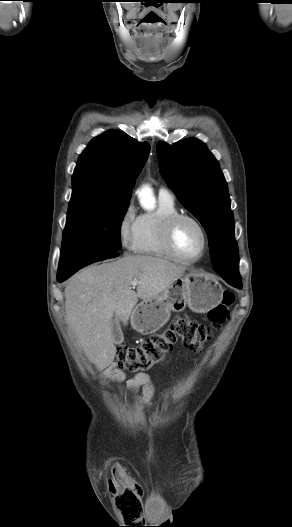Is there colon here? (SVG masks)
I'll list each match as a JSON object with an SVG mask.
<instances>
[{
	"instance_id": "1",
	"label": "colon",
	"mask_w": 292,
	"mask_h": 527,
	"mask_svg": "<svg viewBox=\"0 0 292 527\" xmlns=\"http://www.w3.org/2000/svg\"><path fill=\"white\" fill-rule=\"evenodd\" d=\"M234 303V294L224 291L221 302L208 313L210 325H204L197 320L185 316L175 319L172 324L160 334L146 339L138 346L121 347L118 351V365L131 372L145 371L163 361L168 352L180 341L182 345L194 351H200L213 332L221 329L229 318L230 307ZM128 486L116 497L119 506L135 503L140 512V487L128 481Z\"/></svg>"
}]
</instances>
